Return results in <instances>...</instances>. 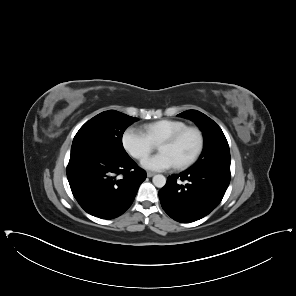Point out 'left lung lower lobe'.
Masks as SVG:
<instances>
[{
  "label": "left lung lower lobe",
  "mask_w": 296,
  "mask_h": 296,
  "mask_svg": "<svg viewBox=\"0 0 296 296\" xmlns=\"http://www.w3.org/2000/svg\"><path fill=\"white\" fill-rule=\"evenodd\" d=\"M230 169L189 168L168 177L159 191L161 205L174 220L190 223L217 207L230 182Z\"/></svg>",
  "instance_id": "left-lung-lower-lobe-1"
}]
</instances>
